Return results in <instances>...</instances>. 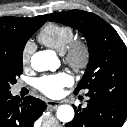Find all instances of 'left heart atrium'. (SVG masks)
<instances>
[{
    "instance_id": "39dd6f15",
    "label": "left heart atrium",
    "mask_w": 127,
    "mask_h": 127,
    "mask_svg": "<svg viewBox=\"0 0 127 127\" xmlns=\"http://www.w3.org/2000/svg\"><path fill=\"white\" fill-rule=\"evenodd\" d=\"M73 82L72 77L65 72L45 75L36 81V87L46 96L56 98L62 95L63 89Z\"/></svg>"
}]
</instances>
